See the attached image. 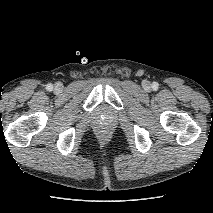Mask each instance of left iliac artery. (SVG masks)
<instances>
[{
	"mask_svg": "<svg viewBox=\"0 0 213 213\" xmlns=\"http://www.w3.org/2000/svg\"><path fill=\"white\" fill-rule=\"evenodd\" d=\"M158 83L157 82H154L153 84H152V88L154 89V90H157L158 89Z\"/></svg>",
	"mask_w": 213,
	"mask_h": 213,
	"instance_id": "left-iliac-artery-1",
	"label": "left iliac artery"
}]
</instances>
